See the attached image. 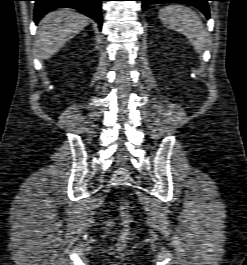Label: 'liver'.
<instances>
[{
  "mask_svg": "<svg viewBox=\"0 0 247 265\" xmlns=\"http://www.w3.org/2000/svg\"><path fill=\"white\" fill-rule=\"evenodd\" d=\"M88 24V17L72 9H58L48 13L38 26L35 41L38 58L49 59Z\"/></svg>",
  "mask_w": 247,
  "mask_h": 265,
  "instance_id": "6515ba94",
  "label": "liver"
}]
</instances>
